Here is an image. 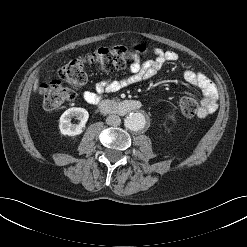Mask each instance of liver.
<instances>
[{"mask_svg":"<svg viewBox=\"0 0 247 247\" xmlns=\"http://www.w3.org/2000/svg\"><path fill=\"white\" fill-rule=\"evenodd\" d=\"M39 79L37 78L36 81H35V84H34V92H36L38 90V87H39Z\"/></svg>","mask_w":247,"mask_h":247,"instance_id":"1","label":"liver"}]
</instances>
